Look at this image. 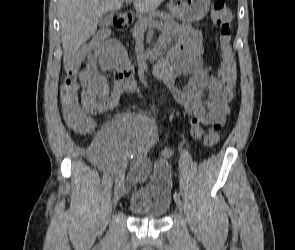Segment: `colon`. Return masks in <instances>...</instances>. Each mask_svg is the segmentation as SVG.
<instances>
[{
  "label": "colon",
  "mask_w": 295,
  "mask_h": 250,
  "mask_svg": "<svg viewBox=\"0 0 295 250\" xmlns=\"http://www.w3.org/2000/svg\"><path fill=\"white\" fill-rule=\"evenodd\" d=\"M213 23L220 28L219 49L221 56V67L219 76L222 83L233 88L236 81V58L232 45V14L230 9L223 1L213 3L211 9ZM108 32L99 31L80 52L86 54H98L103 51L107 43ZM79 84L74 77H66L61 86L60 100L62 112L67 124L79 132H90L94 128V122L91 115L98 113L95 107L85 106L79 97ZM215 128H211L204 137L206 145H212L214 142Z\"/></svg>",
  "instance_id": "5ec220e1"
}]
</instances>
